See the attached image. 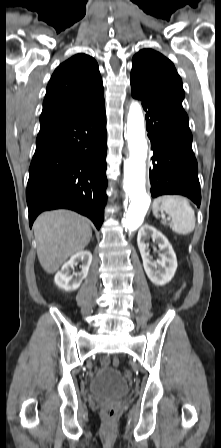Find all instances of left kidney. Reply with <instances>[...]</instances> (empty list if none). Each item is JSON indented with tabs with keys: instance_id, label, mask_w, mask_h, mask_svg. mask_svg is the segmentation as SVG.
Returning a JSON list of instances; mask_svg holds the SVG:
<instances>
[{
	"instance_id": "left-kidney-1",
	"label": "left kidney",
	"mask_w": 221,
	"mask_h": 448,
	"mask_svg": "<svg viewBox=\"0 0 221 448\" xmlns=\"http://www.w3.org/2000/svg\"><path fill=\"white\" fill-rule=\"evenodd\" d=\"M148 237H152L162 251L160 258L156 261L152 260L147 250L146 240ZM137 244L148 278L156 285L167 284L173 278L177 269L176 254L168 239L155 227L146 224L138 232Z\"/></svg>"
}]
</instances>
